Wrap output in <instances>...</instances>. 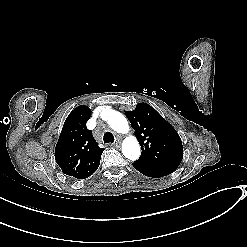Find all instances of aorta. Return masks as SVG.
<instances>
[{"instance_id":"762f6f07","label":"aorta","mask_w":247,"mask_h":247,"mask_svg":"<svg viewBox=\"0 0 247 247\" xmlns=\"http://www.w3.org/2000/svg\"><path fill=\"white\" fill-rule=\"evenodd\" d=\"M108 124L117 133L125 134L129 130L127 119L119 112L110 110L108 114ZM122 153L129 160H137L140 157L141 150L137 139L129 136L122 143Z\"/></svg>"}]
</instances>
